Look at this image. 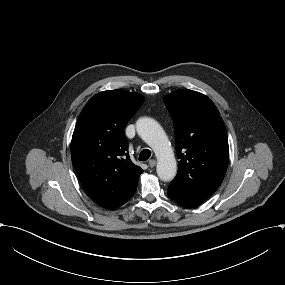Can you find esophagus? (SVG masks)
I'll return each mask as SVG.
<instances>
[{"instance_id": "esophagus-1", "label": "esophagus", "mask_w": 285, "mask_h": 285, "mask_svg": "<svg viewBox=\"0 0 285 285\" xmlns=\"http://www.w3.org/2000/svg\"><path fill=\"white\" fill-rule=\"evenodd\" d=\"M148 165L151 167V168H154L156 166V160L155 159H150L148 161Z\"/></svg>"}]
</instances>
